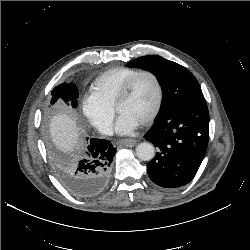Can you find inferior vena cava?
I'll return each mask as SVG.
<instances>
[{
  "mask_svg": "<svg viewBox=\"0 0 250 250\" xmlns=\"http://www.w3.org/2000/svg\"><path fill=\"white\" fill-rule=\"evenodd\" d=\"M100 132L102 134H105V135H112L113 134V128L111 125L109 124H106V125H103L101 128H100Z\"/></svg>",
  "mask_w": 250,
  "mask_h": 250,
  "instance_id": "1",
  "label": "inferior vena cava"
}]
</instances>
